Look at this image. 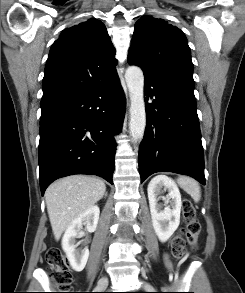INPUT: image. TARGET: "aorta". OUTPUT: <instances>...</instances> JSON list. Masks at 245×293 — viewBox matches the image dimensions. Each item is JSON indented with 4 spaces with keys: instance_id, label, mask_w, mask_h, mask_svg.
<instances>
[{
    "instance_id": "aorta-1",
    "label": "aorta",
    "mask_w": 245,
    "mask_h": 293,
    "mask_svg": "<svg viewBox=\"0 0 245 293\" xmlns=\"http://www.w3.org/2000/svg\"><path fill=\"white\" fill-rule=\"evenodd\" d=\"M125 80L131 101L129 130L132 141L137 142L143 138L146 126L144 75L141 68L129 66L125 72Z\"/></svg>"
}]
</instances>
